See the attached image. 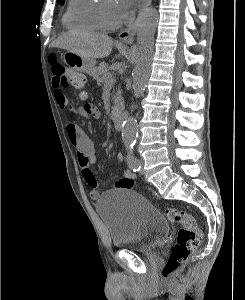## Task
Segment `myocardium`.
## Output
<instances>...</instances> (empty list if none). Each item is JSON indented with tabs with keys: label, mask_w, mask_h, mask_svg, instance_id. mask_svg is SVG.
Returning a JSON list of instances; mask_svg holds the SVG:
<instances>
[{
	"label": "myocardium",
	"mask_w": 245,
	"mask_h": 300,
	"mask_svg": "<svg viewBox=\"0 0 245 300\" xmlns=\"http://www.w3.org/2000/svg\"><path fill=\"white\" fill-rule=\"evenodd\" d=\"M99 16H100V21L102 26L107 29H115L119 27L122 24V21L124 20V19H112L108 15L103 4L99 6Z\"/></svg>",
	"instance_id": "f54148a6"
}]
</instances>
